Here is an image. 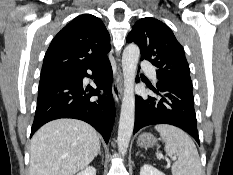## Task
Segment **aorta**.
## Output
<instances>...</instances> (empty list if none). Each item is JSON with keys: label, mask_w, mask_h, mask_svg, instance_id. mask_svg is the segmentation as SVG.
<instances>
[{"label": "aorta", "mask_w": 233, "mask_h": 175, "mask_svg": "<svg viewBox=\"0 0 233 175\" xmlns=\"http://www.w3.org/2000/svg\"><path fill=\"white\" fill-rule=\"evenodd\" d=\"M140 49L136 44H129L123 51L122 70L124 77V94L118 128V150L125 155L132 136L135 120L134 83Z\"/></svg>", "instance_id": "1"}]
</instances>
